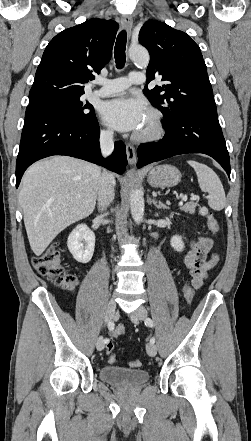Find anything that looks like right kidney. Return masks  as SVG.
Instances as JSON below:
<instances>
[{
	"label": "right kidney",
	"mask_w": 251,
	"mask_h": 441,
	"mask_svg": "<svg viewBox=\"0 0 251 441\" xmlns=\"http://www.w3.org/2000/svg\"><path fill=\"white\" fill-rule=\"evenodd\" d=\"M67 246L76 261L88 263L94 253L95 235L86 224H80L69 234Z\"/></svg>",
	"instance_id": "obj_1"
}]
</instances>
